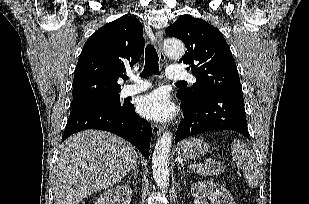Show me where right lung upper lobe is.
<instances>
[{
  "label": "right lung upper lobe",
  "instance_id": "cb5924a9",
  "mask_svg": "<svg viewBox=\"0 0 309 204\" xmlns=\"http://www.w3.org/2000/svg\"><path fill=\"white\" fill-rule=\"evenodd\" d=\"M142 24L122 16L97 30L84 44L73 81L72 104L119 93V77L144 51Z\"/></svg>",
  "mask_w": 309,
  "mask_h": 204
}]
</instances>
